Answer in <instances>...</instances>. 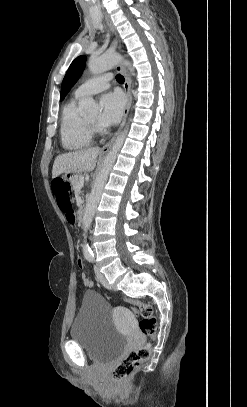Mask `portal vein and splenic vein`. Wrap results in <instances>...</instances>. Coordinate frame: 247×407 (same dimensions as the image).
<instances>
[{
  "instance_id": "obj_1",
  "label": "portal vein and splenic vein",
  "mask_w": 247,
  "mask_h": 407,
  "mask_svg": "<svg viewBox=\"0 0 247 407\" xmlns=\"http://www.w3.org/2000/svg\"><path fill=\"white\" fill-rule=\"evenodd\" d=\"M84 184V177H82L79 181L78 187L81 188Z\"/></svg>"
}]
</instances>
